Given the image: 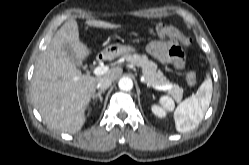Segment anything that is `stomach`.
Listing matches in <instances>:
<instances>
[{
	"label": "stomach",
	"instance_id": "obj_1",
	"mask_svg": "<svg viewBox=\"0 0 249 165\" xmlns=\"http://www.w3.org/2000/svg\"><path fill=\"white\" fill-rule=\"evenodd\" d=\"M136 49L132 45H124V44H112L103 50L102 57L104 59H113L117 56L131 54Z\"/></svg>",
	"mask_w": 249,
	"mask_h": 165
}]
</instances>
